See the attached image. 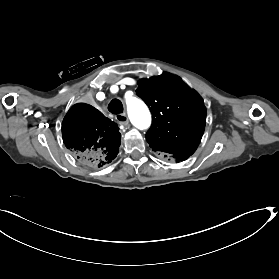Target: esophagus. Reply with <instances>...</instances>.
Here are the masks:
<instances>
[{
	"label": "esophagus",
	"instance_id": "34e87169",
	"mask_svg": "<svg viewBox=\"0 0 279 279\" xmlns=\"http://www.w3.org/2000/svg\"><path fill=\"white\" fill-rule=\"evenodd\" d=\"M115 119L118 123L127 126L129 124L128 116L124 113H119L115 115Z\"/></svg>",
	"mask_w": 279,
	"mask_h": 279
}]
</instances>
